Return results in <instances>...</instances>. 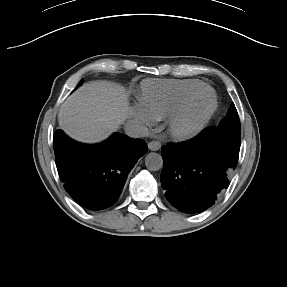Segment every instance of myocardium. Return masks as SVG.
Here are the masks:
<instances>
[{"mask_svg":"<svg viewBox=\"0 0 287 287\" xmlns=\"http://www.w3.org/2000/svg\"><path fill=\"white\" fill-rule=\"evenodd\" d=\"M202 94H209L211 104L207 111L199 118L189 121L187 119L188 110L192 102ZM218 107V100L215 92L208 86L199 88L188 94L177 109L169 117L168 129L170 135L179 141L188 140L196 136L210 121Z\"/></svg>","mask_w":287,"mask_h":287,"instance_id":"f54148a6","label":"myocardium"}]
</instances>
